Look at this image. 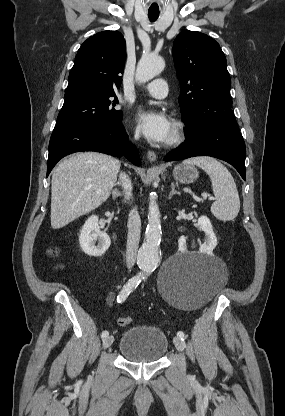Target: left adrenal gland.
Instances as JSON below:
<instances>
[{
  "instance_id": "left-adrenal-gland-1",
  "label": "left adrenal gland",
  "mask_w": 285,
  "mask_h": 416,
  "mask_svg": "<svg viewBox=\"0 0 285 416\" xmlns=\"http://www.w3.org/2000/svg\"><path fill=\"white\" fill-rule=\"evenodd\" d=\"M171 188H172V190H171V192L168 196L169 200H170V198H172V196H174V194H179V196H180V192H176V190H175L174 182H171Z\"/></svg>"
}]
</instances>
